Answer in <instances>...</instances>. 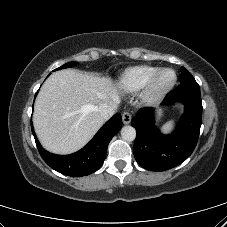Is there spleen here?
Here are the masks:
<instances>
[{"mask_svg": "<svg viewBox=\"0 0 227 227\" xmlns=\"http://www.w3.org/2000/svg\"><path fill=\"white\" fill-rule=\"evenodd\" d=\"M174 122L169 121L162 126V131L164 133H169L173 129Z\"/></svg>", "mask_w": 227, "mask_h": 227, "instance_id": "3e777b00", "label": "spleen"}]
</instances>
